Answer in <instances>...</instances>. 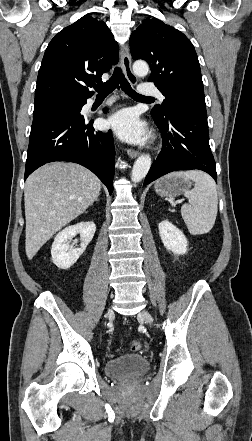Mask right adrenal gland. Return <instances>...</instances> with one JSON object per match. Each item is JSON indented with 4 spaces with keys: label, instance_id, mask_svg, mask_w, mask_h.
<instances>
[{
    "label": "right adrenal gland",
    "instance_id": "obj_1",
    "mask_svg": "<svg viewBox=\"0 0 252 441\" xmlns=\"http://www.w3.org/2000/svg\"><path fill=\"white\" fill-rule=\"evenodd\" d=\"M94 201H99V198L97 197Z\"/></svg>",
    "mask_w": 252,
    "mask_h": 441
}]
</instances>
